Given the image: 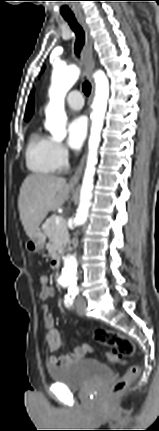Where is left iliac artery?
Segmentation results:
<instances>
[{
    "label": "left iliac artery",
    "instance_id": "1",
    "mask_svg": "<svg viewBox=\"0 0 159 431\" xmlns=\"http://www.w3.org/2000/svg\"><path fill=\"white\" fill-rule=\"evenodd\" d=\"M73 286H74V288H73L72 292L69 293L70 295L65 296L64 302L67 306H71L73 304V299H74L75 295L78 294V288L75 287V284Z\"/></svg>",
    "mask_w": 159,
    "mask_h": 431
}]
</instances>
